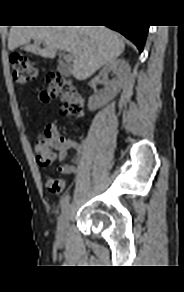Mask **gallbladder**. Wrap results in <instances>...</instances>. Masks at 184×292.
I'll return each instance as SVG.
<instances>
[{
	"instance_id": "1",
	"label": "gallbladder",
	"mask_w": 184,
	"mask_h": 292,
	"mask_svg": "<svg viewBox=\"0 0 184 292\" xmlns=\"http://www.w3.org/2000/svg\"><path fill=\"white\" fill-rule=\"evenodd\" d=\"M58 71L62 74V75H65V76H68L70 75L71 73V69L69 66H65V65H58Z\"/></svg>"
}]
</instances>
